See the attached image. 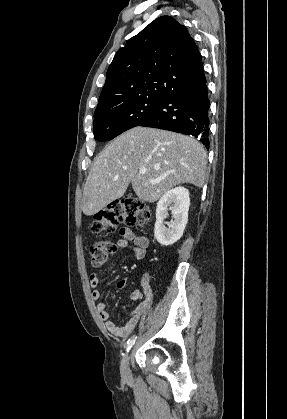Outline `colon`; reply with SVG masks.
<instances>
[{
    "mask_svg": "<svg viewBox=\"0 0 287 419\" xmlns=\"http://www.w3.org/2000/svg\"><path fill=\"white\" fill-rule=\"evenodd\" d=\"M149 217L150 211L144 202L136 198L124 197L100 210L95 215L91 228L96 233H113L121 223L138 225ZM114 250L115 246L110 241L93 242L90 247L92 265L101 266L106 263Z\"/></svg>",
    "mask_w": 287,
    "mask_h": 419,
    "instance_id": "1",
    "label": "colon"
}]
</instances>
